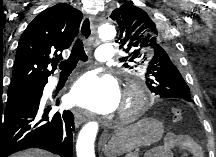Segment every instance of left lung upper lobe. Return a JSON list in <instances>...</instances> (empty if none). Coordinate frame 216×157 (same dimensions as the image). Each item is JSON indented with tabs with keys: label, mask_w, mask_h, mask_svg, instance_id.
<instances>
[{
	"label": "left lung upper lobe",
	"mask_w": 216,
	"mask_h": 157,
	"mask_svg": "<svg viewBox=\"0 0 216 157\" xmlns=\"http://www.w3.org/2000/svg\"><path fill=\"white\" fill-rule=\"evenodd\" d=\"M119 26L120 44L127 56L121 61L129 62L126 67L145 70L146 84L150 91L162 99H181L192 102L190 89L181 74L177 48L162 27L161 19L148 15L141 8L122 4L110 15Z\"/></svg>",
	"instance_id": "5c2ea615"
}]
</instances>
